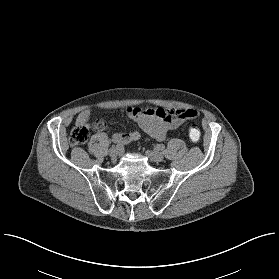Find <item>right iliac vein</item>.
Listing matches in <instances>:
<instances>
[{"label": "right iliac vein", "instance_id": "obj_1", "mask_svg": "<svg viewBox=\"0 0 279 279\" xmlns=\"http://www.w3.org/2000/svg\"><path fill=\"white\" fill-rule=\"evenodd\" d=\"M108 154L111 158H116L118 150L115 147L109 149Z\"/></svg>", "mask_w": 279, "mask_h": 279}]
</instances>
